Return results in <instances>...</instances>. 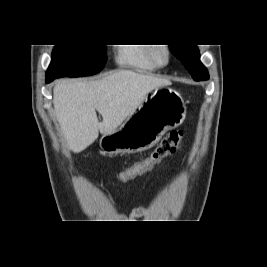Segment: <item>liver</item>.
<instances>
[{
  "instance_id": "obj_1",
  "label": "liver",
  "mask_w": 267,
  "mask_h": 267,
  "mask_svg": "<svg viewBox=\"0 0 267 267\" xmlns=\"http://www.w3.org/2000/svg\"><path fill=\"white\" fill-rule=\"evenodd\" d=\"M167 79L121 70L98 80H63L53 89V105L68 147L79 153L101 134H110L152 90ZM96 110L102 116L98 121Z\"/></svg>"
}]
</instances>
